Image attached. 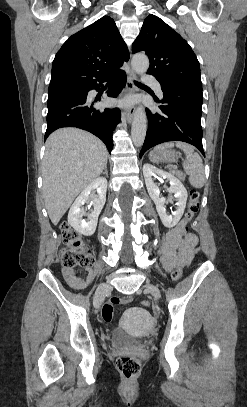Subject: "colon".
<instances>
[{
  "label": "colon",
  "instance_id": "1",
  "mask_svg": "<svg viewBox=\"0 0 247 407\" xmlns=\"http://www.w3.org/2000/svg\"><path fill=\"white\" fill-rule=\"evenodd\" d=\"M200 195L196 190L190 191L189 202L184 216L185 224L188 223L200 209ZM64 249L60 253V262L64 268L73 269L75 267L90 268L94 264V257L89 245L83 238L66 223L61 226ZM183 266L179 265L172 273L173 281H178L182 275ZM132 301L131 297L114 296L107 301L101 311L102 318L105 322H111L114 319V307L127 304ZM143 307H148L150 303L147 300L141 302ZM116 367L120 374L127 380L134 379L141 370L140 360L132 355H123L117 358Z\"/></svg>",
  "mask_w": 247,
  "mask_h": 407
}]
</instances>
